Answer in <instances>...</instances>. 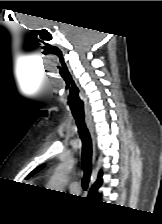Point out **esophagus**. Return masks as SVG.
<instances>
[{"label": "esophagus", "instance_id": "34e87169", "mask_svg": "<svg viewBox=\"0 0 162 224\" xmlns=\"http://www.w3.org/2000/svg\"><path fill=\"white\" fill-rule=\"evenodd\" d=\"M86 123L89 128L91 137H92V142H93V151H94V156H95V134H94V128H93V122L91 118H86Z\"/></svg>", "mask_w": 162, "mask_h": 224}]
</instances>
